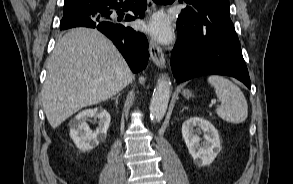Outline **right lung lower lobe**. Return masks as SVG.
<instances>
[{
  "instance_id": "98d812e1",
  "label": "right lung lower lobe",
  "mask_w": 293,
  "mask_h": 184,
  "mask_svg": "<svg viewBox=\"0 0 293 184\" xmlns=\"http://www.w3.org/2000/svg\"><path fill=\"white\" fill-rule=\"evenodd\" d=\"M147 0H97L81 9L64 14L60 29L76 26L97 28L110 38L124 56L134 73L143 70L148 62V42L143 33L135 31L114 19L112 13L133 11L135 16H144ZM135 17L127 15L125 21H133Z\"/></svg>"
}]
</instances>
